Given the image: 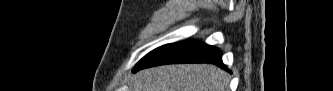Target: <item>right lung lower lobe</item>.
Segmentation results:
<instances>
[{
    "label": "right lung lower lobe",
    "instance_id": "98d812e1",
    "mask_svg": "<svg viewBox=\"0 0 333 91\" xmlns=\"http://www.w3.org/2000/svg\"><path fill=\"white\" fill-rule=\"evenodd\" d=\"M172 63H213L228 70L222 63L218 48L195 40H186L167 44L153 50L140 60L133 72L152 66Z\"/></svg>",
    "mask_w": 333,
    "mask_h": 91
}]
</instances>
